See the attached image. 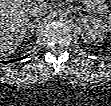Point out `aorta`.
<instances>
[{"label":"aorta","mask_w":111,"mask_h":106,"mask_svg":"<svg viewBox=\"0 0 111 106\" xmlns=\"http://www.w3.org/2000/svg\"><path fill=\"white\" fill-rule=\"evenodd\" d=\"M66 17H67L66 12H64L62 10L58 11V19L64 20V19H66Z\"/></svg>","instance_id":"762f6f07"}]
</instances>
